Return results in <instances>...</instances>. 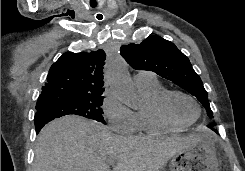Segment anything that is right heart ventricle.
I'll list each match as a JSON object with an SVG mask.
<instances>
[{
    "label": "right heart ventricle",
    "instance_id": "e07e8e85",
    "mask_svg": "<svg viewBox=\"0 0 245 171\" xmlns=\"http://www.w3.org/2000/svg\"><path fill=\"white\" fill-rule=\"evenodd\" d=\"M137 87L145 99V105L135 112L137 119L136 132L149 135H160L179 131L181 128L167 124L157 113V99L165 91V88L161 83L156 80L152 83L137 85Z\"/></svg>",
    "mask_w": 245,
    "mask_h": 171
}]
</instances>
